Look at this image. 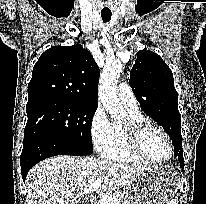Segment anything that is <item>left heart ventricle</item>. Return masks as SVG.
<instances>
[{"mask_svg":"<svg viewBox=\"0 0 206 204\" xmlns=\"http://www.w3.org/2000/svg\"><path fill=\"white\" fill-rule=\"evenodd\" d=\"M142 148L145 154L154 161H164L169 156V147L163 135L153 129L148 128L142 135Z\"/></svg>","mask_w":206,"mask_h":204,"instance_id":"1","label":"left heart ventricle"}]
</instances>
